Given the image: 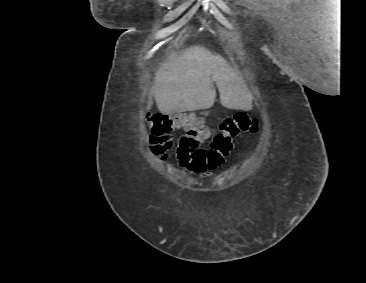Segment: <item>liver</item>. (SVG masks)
I'll return each mask as SVG.
<instances>
[{
    "label": "liver",
    "mask_w": 366,
    "mask_h": 283,
    "mask_svg": "<svg viewBox=\"0 0 366 283\" xmlns=\"http://www.w3.org/2000/svg\"><path fill=\"white\" fill-rule=\"evenodd\" d=\"M229 109L251 110L252 94L236 71L218 54L191 46L156 73L153 94L162 114L210 108L216 98Z\"/></svg>",
    "instance_id": "6515ba94"
}]
</instances>
